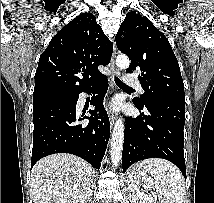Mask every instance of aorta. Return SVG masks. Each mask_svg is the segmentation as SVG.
I'll return each instance as SVG.
<instances>
[{"label": "aorta", "instance_id": "obj_1", "mask_svg": "<svg viewBox=\"0 0 214 203\" xmlns=\"http://www.w3.org/2000/svg\"><path fill=\"white\" fill-rule=\"evenodd\" d=\"M116 65L119 69H127L130 65V60L126 55H119L116 58ZM124 141V123L122 118L116 120L111 137L110 156L114 167H117L122 156Z\"/></svg>", "mask_w": 214, "mask_h": 203}]
</instances>
